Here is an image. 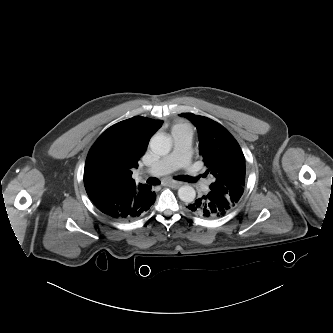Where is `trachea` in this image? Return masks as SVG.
Returning a JSON list of instances; mask_svg holds the SVG:
<instances>
[{"instance_id":"obj_1","label":"trachea","mask_w":333,"mask_h":333,"mask_svg":"<svg viewBox=\"0 0 333 333\" xmlns=\"http://www.w3.org/2000/svg\"><path fill=\"white\" fill-rule=\"evenodd\" d=\"M176 179L185 181V182H190V183H193L196 181V179H194L188 175H181V176L176 177ZM147 183L150 185H158V184H160V180L157 178H154V177H150L147 179Z\"/></svg>"}]
</instances>
